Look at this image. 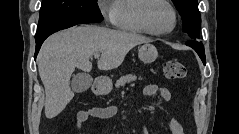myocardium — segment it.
Instances as JSON below:
<instances>
[{
  "label": "myocardium",
  "instance_id": "1",
  "mask_svg": "<svg viewBox=\"0 0 239 134\" xmlns=\"http://www.w3.org/2000/svg\"><path fill=\"white\" fill-rule=\"evenodd\" d=\"M154 2H161V3L165 4L170 9L172 16H173V22H172V26L168 30L156 31L152 28L150 21H149L148 13H149L150 7L152 6V4ZM139 19H140V22H141L142 26L144 27V29L149 34L154 35V36H166V35L171 34L175 30V28L177 26V22H178V16H177V12H176L175 8L167 0H144L142 6L140 8V11H139Z\"/></svg>",
  "mask_w": 239,
  "mask_h": 134
}]
</instances>
